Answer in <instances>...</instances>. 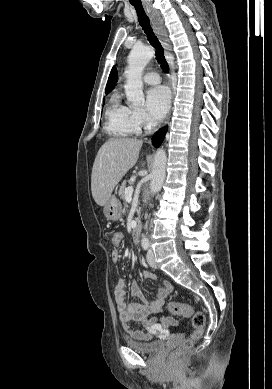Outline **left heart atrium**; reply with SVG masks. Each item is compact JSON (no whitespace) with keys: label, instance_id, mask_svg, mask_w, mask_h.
I'll return each instance as SVG.
<instances>
[{"label":"left heart atrium","instance_id":"39dd6f15","mask_svg":"<svg viewBox=\"0 0 272 389\" xmlns=\"http://www.w3.org/2000/svg\"><path fill=\"white\" fill-rule=\"evenodd\" d=\"M170 105V94L166 87L156 86L146 92L145 107L149 117L154 120L162 119Z\"/></svg>","mask_w":272,"mask_h":389}]
</instances>
